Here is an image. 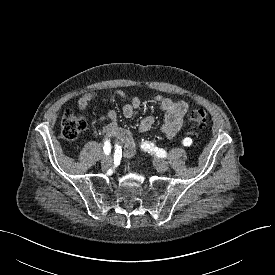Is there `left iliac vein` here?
I'll list each match as a JSON object with an SVG mask.
<instances>
[{
  "instance_id": "obj_1",
  "label": "left iliac vein",
  "mask_w": 275,
  "mask_h": 275,
  "mask_svg": "<svg viewBox=\"0 0 275 275\" xmlns=\"http://www.w3.org/2000/svg\"><path fill=\"white\" fill-rule=\"evenodd\" d=\"M154 166L159 172H166L169 169L168 162L160 158L154 160Z\"/></svg>"
}]
</instances>
